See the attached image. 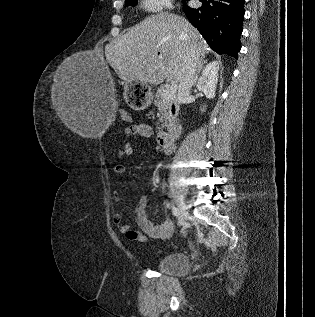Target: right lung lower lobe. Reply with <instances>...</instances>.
Returning <instances> with one entry per match:
<instances>
[{"label":"right lung lower lobe","instance_id":"1","mask_svg":"<svg viewBox=\"0 0 315 317\" xmlns=\"http://www.w3.org/2000/svg\"><path fill=\"white\" fill-rule=\"evenodd\" d=\"M202 6H183L191 24L205 38L211 49L237 59L244 18V0H200Z\"/></svg>","mask_w":315,"mask_h":317}]
</instances>
